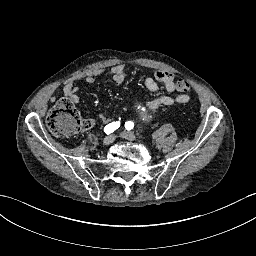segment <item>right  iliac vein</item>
Instances as JSON below:
<instances>
[{
  "instance_id": "right-iliac-vein-1",
  "label": "right iliac vein",
  "mask_w": 256,
  "mask_h": 256,
  "mask_svg": "<svg viewBox=\"0 0 256 256\" xmlns=\"http://www.w3.org/2000/svg\"><path fill=\"white\" fill-rule=\"evenodd\" d=\"M114 136L113 135H108L103 139V145L108 146L114 141Z\"/></svg>"
}]
</instances>
